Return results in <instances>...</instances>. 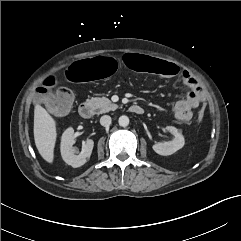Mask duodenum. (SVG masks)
Listing matches in <instances>:
<instances>
[{
    "label": "duodenum",
    "mask_w": 241,
    "mask_h": 241,
    "mask_svg": "<svg viewBox=\"0 0 241 241\" xmlns=\"http://www.w3.org/2000/svg\"><path fill=\"white\" fill-rule=\"evenodd\" d=\"M129 110H130V112H132L134 114H138V115L143 114V112H144V109L139 105H131L129 107ZM78 111H79L80 116L84 119H89L93 114V108L89 102L81 103Z\"/></svg>",
    "instance_id": "1"
}]
</instances>
